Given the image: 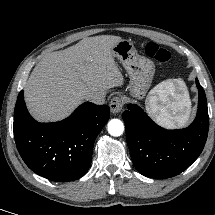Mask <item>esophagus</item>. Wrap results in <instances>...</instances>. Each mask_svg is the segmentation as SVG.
Listing matches in <instances>:
<instances>
[{"instance_id": "obj_1", "label": "esophagus", "mask_w": 215, "mask_h": 215, "mask_svg": "<svg viewBox=\"0 0 215 215\" xmlns=\"http://www.w3.org/2000/svg\"><path fill=\"white\" fill-rule=\"evenodd\" d=\"M110 110L113 114H118L123 109V100L120 97H114L110 104Z\"/></svg>"}]
</instances>
